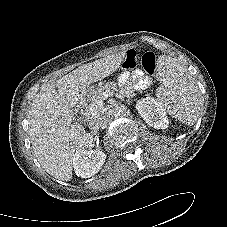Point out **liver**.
I'll list each match as a JSON object with an SVG mask.
<instances>
[{
	"label": "liver",
	"mask_w": 227,
	"mask_h": 227,
	"mask_svg": "<svg viewBox=\"0 0 227 227\" xmlns=\"http://www.w3.org/2000/svg\"><path fill=\"white\" fill-rule=\"evenodd\" d=\"M125 55L126 51H121L83 64L44 84L34 98L28 116L30 140L40 165L54 178L72 179L74 152L86 135L82 125L72 123L80 108V93L115 72Z\"/></svg>",
	"instance_id": "6515ba94"
}]
</instances>
